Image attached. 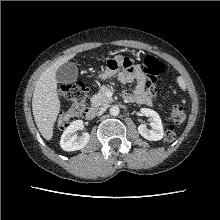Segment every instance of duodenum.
Returning <instances> with one entry per match:
<instances>
[{"mask_svg":"<svg viewBox=\"0 0 220 220\" xmlns=\"http://www.w3.org/2000/svg\"><path fill=\"white\" fill-rule=\"evenodd\" d=\"M96 114H97V109L95 107H91L86 114V118L88 120H92L96 117Z\"/></svg>","mask_w":220,"mask_h":220,"instance_id":"duodenum-1","label":"duodenum"}]
</instances>
